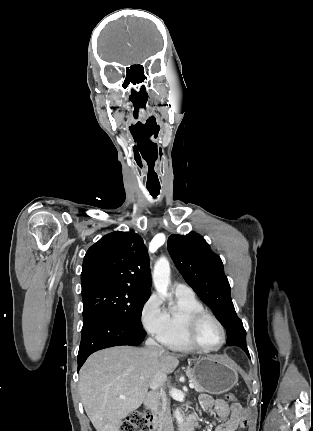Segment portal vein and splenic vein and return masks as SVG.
<instances>
[{
	"label": "portal vein and splenic vein",
	"instance_id": "18ae733b",
	"mask_svg": "<svg viewBox=\"0 0 313 431\" xmlns=\"http://www.w3.org/2000/svg\"><path fill=\"white\" fill-rule=\"evenodd\" d=\"M189 387H190V388H194V387H195V385H194L192 382H190V383H189ZM121 398H122V399H125V397H123V396H121Z\"/></svg>",
	"mask_w": 313,
	"mask_h": 431
}]
</instances>
